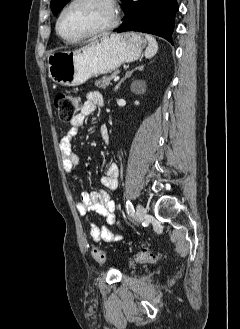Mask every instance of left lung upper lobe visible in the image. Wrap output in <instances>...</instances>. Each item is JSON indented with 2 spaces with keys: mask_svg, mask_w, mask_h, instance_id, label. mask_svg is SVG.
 <instances>
[{
  "mask_svg": "<svg viewBox=\"0 0 240 329\" xmlns=\"http://www.w3.org/2000/svg\"><path fill=\"white\" fill-rule=\"evenodd\" d=\"M69 0H51V9L54 15H57L58 12L66 5ZM124 4L125 0H121Z\"/></svg>",
  "mask_w": 240,
  "mask_h": 329,
  "instance_id": "5c2ea615",
  "label": "left lung upper lobe"
}]
</instances>
